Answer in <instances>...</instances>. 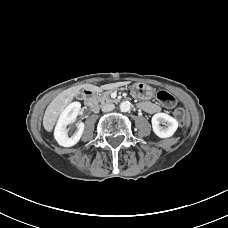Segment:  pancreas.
<instances>
[{
	"mask_svg": "<svg viewBox=\"0 0 228 228\" xmlns=\"http://www.w3.org/2000/svg\"><path fill=\"white\" fill-rule=\"evenodd\" d=\"M116 89H118V88H115V89H112L113 91H115ZM104 91V92H102V95H100L99 97H98V101L103 105V104H105V103H112V102H114V100L113 99H111L110 97H109V93L110 92H113V91ZM118 90H121L120 88L118 89ZM122 90H127V89H122ZM117 91V90H116Z\"/></svg>",
	"mask_w": 228,
	"mask_h": 228,
	"instance_id": "cf45deb5",
	"label": "pancreas"
}]
</instances>
